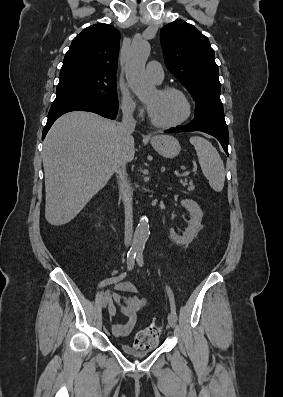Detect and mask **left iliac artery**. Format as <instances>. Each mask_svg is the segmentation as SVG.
Instances as JSON below:
<instances>
[{"label":"left iliac artery","instance_id":"1","mask_svg":"<svg viewBox=\"0 0 283 397\" xmlns=\"http://www.w3.org/2000/svg\"><path fill=\"white\" fill-rule=\"evenodd\" d=\"M136 261L138 263L139 266H143L144 264V260H143V252L142 251H138L136 254ZM166 290L167 293L169 295V299H170V305H171V312L175 315L176 317V308H175V302H174V296H173V292L170 289V287L166 286ZM177 319V317H176Z\"/></svg>","mask_w":283,"mask_h":397}]
</instances>
